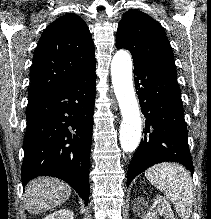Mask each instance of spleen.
<instances>
[{
    "label": "spleen",
    "mask_w": 211,
    "mask_h": 219,
    "mask_svg": "<svg viewBox=\"0 0 211 219\" xmlns=\"http://www.w3.org/2000/svg\"><path fill=\"white\" fill-rule=\"evenodd\" d=\"M145 177L173 203L182 219H189L194 202L189 172L178 164L163 163L148 169Z\"/></svg>",
    "instance_id": "spleen-1"
}]
</instances>
